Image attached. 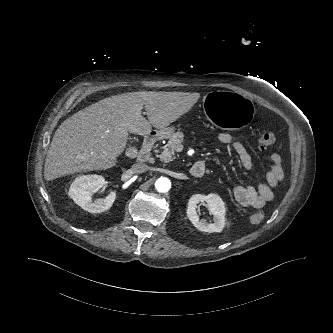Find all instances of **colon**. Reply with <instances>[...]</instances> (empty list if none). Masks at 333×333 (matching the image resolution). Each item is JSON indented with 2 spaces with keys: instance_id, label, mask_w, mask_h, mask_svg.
I'll return each instance as SVG.
<instances>
[{
  "instance_id": "1",
  "label": "colon",
  "mask_w": 333,
  "mask_h": 333,
  "mask_svg": "<svg viewBox=\"0 0 333 333\" xmlns=\"http://www.w3.org/2000/svg\"><path fill=\"white\" fill-rule=\"evenodd\" d=\"M276 141V135L272 131H265L261 134L259 139L260 148L266 150L270 148ZM264 214L261 212L255 213L250 217L252 224H259L263 221Z\"/></svg>"
}]
</instances>
